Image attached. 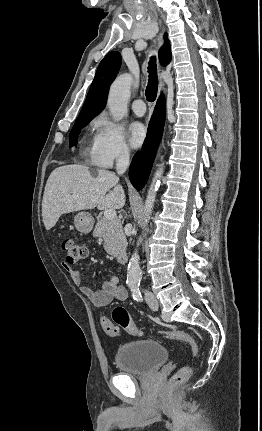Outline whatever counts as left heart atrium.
I'll use <instances>...</instances> for the list:
<instances>
[{
	"label": "left heart atrium",
	"instance_id": "39dd6f15",
	"mask_svg": "<svg viewBox=\"0 0 262 431\" xmlns=\"http://www.w3.org/2000/svg\"><path fill=\"white\" fill-rule=\"evenodd\" d=\"M146 138L145 126L140 122H133L128 129V140L133 148L140 147Z\"/></svg>",
	"mask_w": 262,
	"mask_h": 431
}]
</instances>
